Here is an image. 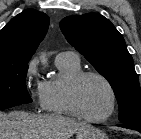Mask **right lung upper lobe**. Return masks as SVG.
I'll return each mask as SVG.
<instances>
[{"label":"right lung upper lobe","mask_w":141,"mask_h":139,"mask_svg":"<svg viewBox=\"0 0 141 139\" xmlns=\"http://www.w3.org/2000/svg\"><path fill=\"white\" fill-rule=\"evenodd\" d=\"M48 26L49 17L34 9L15 16L0 30V64L28 63Z\"/></svg>","instance_id":"right-lung-upper-lobe-1"}]
</instances>
